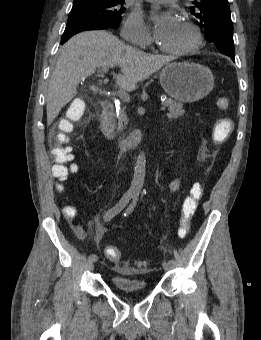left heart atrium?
<instances>
[{"instance_id":"1","label":"left heart atrium","mask_w":261,"mask_h":340,"mask_svg":"<svg viewBox=\"0 0 261 340\" xmlns=\"http://www.w3.org/2000/svg\"><path fill=\"white\" fill-rule=\"evenodd\" d=\"M151 21L154 25L155 36L160 42L171 36L180 25L176 15L171 12L153 15Z\"/></svg>"}]
</instances>
